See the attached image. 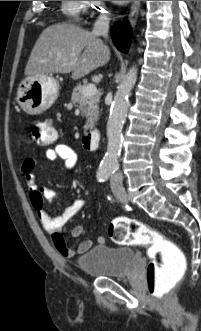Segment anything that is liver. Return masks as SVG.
Wrapping results in <instances>:
<instances>
[{
    "label": "liver",
    "mask_w": 201,
    "mask_h": 331,
    "mask_svg": "<svg viewBox=\"0 0 201 331\" xmlns=\"http://www.w3.org/2000/svg\"><path fill=\"white\" fill-rule=\"evenodd\" d=\"M109 57L108 48L97 35L73 24H54L43 30L36 41L25 75L72 72V78L78 79L104 65Z\"/></svg>",
    "instance_id": "liver-1"
}]
</instances>
